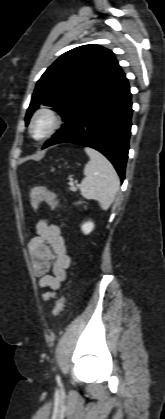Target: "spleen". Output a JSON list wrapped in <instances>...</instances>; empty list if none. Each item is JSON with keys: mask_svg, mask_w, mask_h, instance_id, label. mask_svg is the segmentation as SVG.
<instances>
[{"mask_svg": "<svg viewBox=\"0 0 165 419\" xmlns=\"http://www.w3.org/2000/svg\"><path fill=\"white\" fill-rule=\"evenodd\" d=\"M90 161L84 168L85 178L80 185L84 198L97 200L103 210L114 202L119 190V177L109 160L95 149L86 147Z\"/></svg>", "mask_w": 165, "mask_h": 419, "instance_id": "obj_1", "label": "spleen"}]
</instances>
